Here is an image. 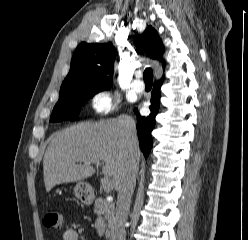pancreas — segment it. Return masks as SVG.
Masks as SVG:
<instances>
[{"mask_svg": "<svg viewBox=\"0 0 248 240\" xmlns=\"http://www.w3.org/2000/svg\"><path fill=\"white\" fill-rule=\"evenodd\" d=\"M94 213L100 217H104L107 226L105 236L108 240H114L116 227L114 204L103 198H97L95 200Z\"/></svg>", "mask_w": 248, "mask_h": 240, "instance_id": "obj_1", "label": "pancreas"}]
</instances>
